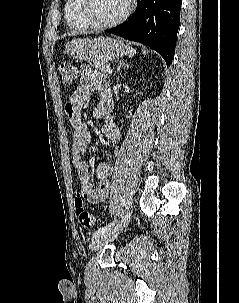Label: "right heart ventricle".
<instances>
[{
	"label": "right heart ventricle",
	"mask_w": 239,
	"mask_h": 303,
	"mask_svg": "<svg viewBox=\"0 0 239 303\" xmlns=\"http://www.w3.org/2000/svg\"><path fill=\"white\" fill-rule=\"evenodd\" d=\"M79 0H66L64 5V16L68 27L74 31H83L88 29L77 12Z\"/></svg>",
	"instance_id": "1"
}]
</instances>
